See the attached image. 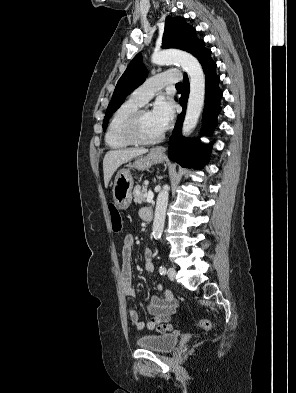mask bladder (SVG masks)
<instances>
[{"label": "bladder", "instance_id": "bladder-1", "mask_svg": "<svg viewBox=\"0 0 296 393\" xmlns=\"http://www.w3.org/2000/svg\"><path fill=\"white\" fill-rule=\"evenodd\" d=\"M178 341L176 334H159L143 336L136 343L142 349L167 354L177 346Z\"/></svg>", "mask_w": 296, "mask_h": 393}]
</instances>
